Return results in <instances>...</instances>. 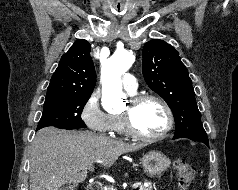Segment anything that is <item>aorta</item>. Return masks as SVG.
Listing matches in <instances>:
<instances>
[{
	"mask_svg": "<svg viewBox=\"0 0 238 190\" xmlns=\"http://www.w3.org/2000/svg\"><path fill=\"white\" fill-rule=\"evenodd\" d=\"M134 55L132 51H116L103 64L101 69L102 106L110 112L122 106L126 97L122 92L121 75L132 66Z\"/></svg>",
	"mask_w": 238,
	"mask_h": 190,
	"instance_id": "aorta-1",
	"label": "aorta"
}]
</instances>
